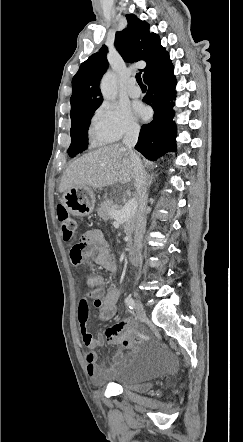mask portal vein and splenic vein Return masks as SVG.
I'll list each match as a JSON object with an SVG mask.
<instances>
[{"mask_svg": "<svg viewBox=\"0 0 243 442\" xmlns=\"http://www.w3.org/2000/svg\"><path fill=\"white\" fill-rule=\"evenodd\" d=\"M136 206L134 201L127 203L121 210H112L110 212L112 218L117 222L128 220L135 213Z\"/></svg>", "mask_w": 243, "mask_h": 442, "instance_id": "1", "label": "portal vein and splenic vein"}]
</instances>
